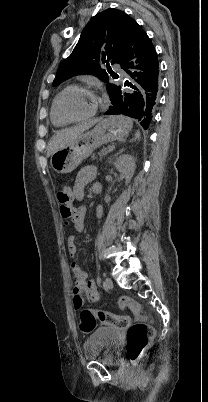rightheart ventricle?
Instances as JSON below:
<instances>
[{
    "instance_id": "obj_1",
    "label": "right heart ventricle",
    "mask_w": 208,
    "mask_h": 402,
    "mask_svg": "<svg viewBox=\"0 0 208 402\" xmlns=\"http://www.w3.org/2000/svg\"><path fill=\"white\" fill-rule=\"evenodd\" d=\"M50 119L56 128H64L70 125L72 122L64 120L61 115L59 114L57 107H56V98L53 100L51 109H50Z\"/></svg>"
}]
</instances>
